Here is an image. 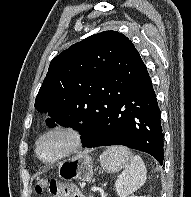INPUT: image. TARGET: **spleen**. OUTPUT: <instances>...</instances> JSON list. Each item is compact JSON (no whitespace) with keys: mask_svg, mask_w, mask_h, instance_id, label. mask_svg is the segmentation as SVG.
I'll use <instances>...</instances> for the list:
<instances>
[{"mask_svg":"<svg viewBox=\"0 0 191 197\" xmlns=\"http://www.w3.org/2000/svg\"><path fill=\"white\" fill-rule=\"evenodd\" d=\"M107 151L115 161L124 166V171L115 182L119 197H127L144 185L147 170L140 156L132 155L130 150L123 146H114Z\"/></svg>","mask_w":191,"mask_h":197,"instance_id":"1","label":"spleen"}]
</instances>
